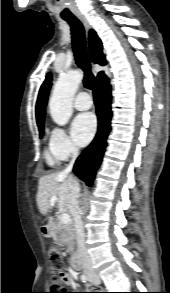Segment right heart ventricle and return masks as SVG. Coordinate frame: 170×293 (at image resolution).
<instances>
[{
    "label": "right heart ventricle",
    "instance_id": "1",
    "mask_svg": "<svg viewBox=\"0 0 170 293\" xmlns=\"http://www.w3.org/2000/svg\"><path fill=\"white\" fill-rule=\"evenodd\" d=\"M45 160L50 167H55L59 159L50 150H46Z\"/></svg>",
    "mask_w": 170,
    "mask_h": 293
}]
</instances>
